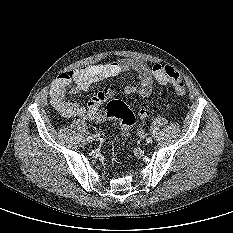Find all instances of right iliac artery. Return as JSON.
Instances as JSON below:
<instances>
[{
  "instance_id": "82829eb1",
  "label": "right iliac artery",
  "mask_w": 233,
  "mask_h": 233,
  "mask_svg": "<svg viewBox=\"0 0 233 233\" xmlns=\"http://www.w3.org/2000/svg\"><path fill=\"white\" fill-rule=\"evenodd\" d=\"M93 140H94V139H93V136H88V137H87V141H88V142H92Z\"/></svg>"
}]
</instances>
